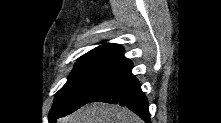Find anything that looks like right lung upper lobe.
<instances>
[{"label":"right lung upper lobe","instance_id":"1","mask_svg":"<svg viewBox=\"0 0 221 123\" xmlns=\"http://www.w3.org/2000/svg\"><path fill=\"white\" fill-rule=\"evenodd\" d=\"M91 51L111 52V53H115V54H119V55H123V53H124V50L121 45L112 44V43L103 44L99 47H96L95 49H93Z\"/></svg>","mask_w":221,"mask_h":123}]
</instances>
